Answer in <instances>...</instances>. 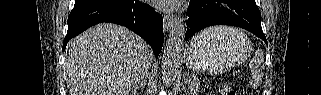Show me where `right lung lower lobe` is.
I'll use <instances>...</instances> for the list:
<instances>
[{"mask_svg":"<svg viewBox=\"0 0 321 95\" xmlns=\"http://www.w3.org/2000/svg\"><path fill=\"white\" fill-rule=\"evenodd\" d=\"M102 22L126 26L146 40L158 57L164 42L163 18L150 5L138 0H104L74 5L68 17L63 50L71 38Z\"/></svg>","mask_w":321,"mask_h":95,"instance_id":"obj_1","label":"right lung lower lobe"}]
</instances>
